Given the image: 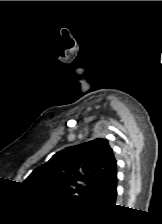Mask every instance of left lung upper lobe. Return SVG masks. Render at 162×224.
<instances>
[{"instance_id":"left-lung-upper-lobe-1","label":"left lung upper lobe","mask_w":162,"mask_h":224,"mask_svg":"<svg viewBox=\"0 0 162 224\" xmlns=\"http://www.w3.org/2000/svg\"><path fill=\"white\" fill-rule=\"evenodd\" d=\"M116 171L108 141L95 139L57 152L24 181L49 192L87 197Z\"/></svg>"}]
</instances>
